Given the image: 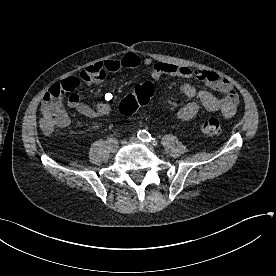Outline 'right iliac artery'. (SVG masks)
<instances>
[{
  "label": "right iliac artery",
  "instance_id": "obj_1",
  "mask_svg": "<svg viewBox=\"0 0 276 276\" xmlns=\"http://www.w3.org/2000/svg\"><path fill=\"white\" fill-rule=\"evenodd\" d=\"M118 142H117V140L115 139V138H108L107 139V144H117Z\"/></svg>",
  "mask_w": 276,
  "mask_h": 276
}]
</instances>
